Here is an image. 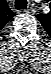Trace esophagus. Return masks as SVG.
<instances>
[{"label": "esophagus", "mask_w": 51, "mask_h": 74, "mask_svg": "<svg viewBox=\"0 0 51 74\" xmlns=\"http://www.w3.org/2000/svg\"><path fill=\"white\" fill-rule=\"evenodd\" d=\"M24 12L29 13V12H30V10L28 9V10H25Z\"/></svg>", "instance_id": "esophagus-1"}]
</instances>
